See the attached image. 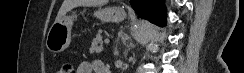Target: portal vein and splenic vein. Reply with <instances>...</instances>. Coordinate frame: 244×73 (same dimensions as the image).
I'll return each instance as SVG.
<instances>
[{
    "instance_id": "obj_1",
    "label": "portal vein and splenic vein",
    "mask_w": 244,
    "mask_h": 73,
    "mask_svg": "<svg viewBox=\"0 0 244 73\" xmlns=\"http://www.w3.org/2000/svg\"><path fill=\"white\" fill-rule=\"evenodd\" d=\"M105 44H108L109 42H110V40L109 39H105Z\"/></svg>"
}]
</instances>
